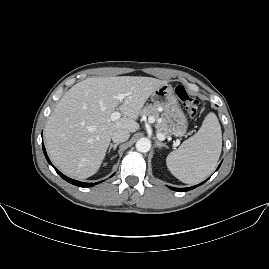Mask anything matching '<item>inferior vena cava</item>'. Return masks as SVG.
I'll return each instance as SVG.
<instances>
[{"mask_svg": "<svg viewBox=\"0 0 269 269\" xmlns=\"http://www.w3.org/2000/svg\"><path fill=\"white\" fill-rule=\"evenodd\" d=\"M129 137H130L129 131L119 129L113 133L112 140L115 143H121L127 141Z\"/></svg>", "mask_w": 269, "mask_h": 269, "instance_id": "inferior-vena-cava-1", "label": "inferior vena cava"}]
</instances>
